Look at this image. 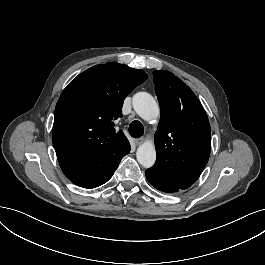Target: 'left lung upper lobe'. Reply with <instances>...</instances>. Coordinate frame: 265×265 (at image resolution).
I'll list each match as a JSON object with an SVG mask.
<instances>
[{"label": "left lung upper lobe", "mask_w": 265, "mask_h": 265, "mask_svg": "<svg viewBox=\"0 0 265 265\" xmlns=\"http://www.w3.org/2000/svg\"><path fill=\"white\" fill-rule=\"evenodd\" d=\"M153 81L161 117L154 137L157 159L149 170L184 190L196 182L209 159L208 116L193 91L172 73L154 71Z\"/></svg>", "instance_id": "5c2ea615"}]
</instances>
